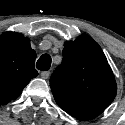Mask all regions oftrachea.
<instances>
[{
    "label": "trachea",
    "instance_id": "1",
    "mask_svg": "<svg viewBox=\"0 0 125 125\" xmlns=\"http://www.w3.org/2000/svg\"><path fill=\"white\" fill-rule=\"evenodd\" d=\"M51 62H52L51 56L48 54H44L38 59L36 67L41 71H47L51 67Z\"/></svg>",
    "mask_w": 125,
    "mask_h": 125
}]
</instances>
